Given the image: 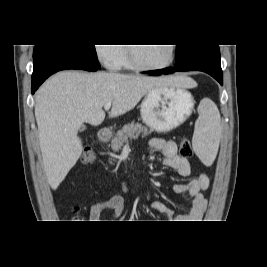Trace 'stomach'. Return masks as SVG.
Masks as SVG:
<instances>
[{
    "label": "stomach",
    "instance_id": "obj_1",
    "mask_svg": "<svg viewBox=\"0 0 267 267\" xmlns=\"http://www.w3.org/2000/svg\"><path fill=\"white\" fill-rule=\"evenodd\" d=\"M193 107L194 98L186 88L166 86L146 94L140 113L147 126L158 132H168L185 122Z\"/></svg>",
    "mask_w": 267,
    "mask_h": 267
}]
</instances>
